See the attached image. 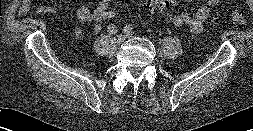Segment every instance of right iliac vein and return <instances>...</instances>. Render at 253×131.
<instances>
[{
    "instance_id": "obj_1",
    "label": "right iliac vein",
    "mask_w": 253,
    "mask_h": 131,
    "mask_svg": "<svg viewBox=\"0 0 253 131\" xmlns=\"http://www.w3.org/2000/svg\"><path fill=\"white\" fill-rule=\"evenodd\" d=\"M124 39H125L124 36H122V35L118 36V42L119 43L123 42Z\"/></svg>"
}]
</instances>
